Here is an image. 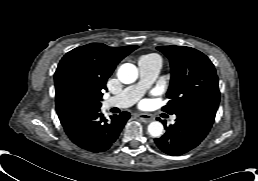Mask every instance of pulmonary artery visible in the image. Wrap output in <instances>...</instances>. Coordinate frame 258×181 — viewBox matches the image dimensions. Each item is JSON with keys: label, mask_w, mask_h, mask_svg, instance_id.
<instances>
[{"label": "pulmonary artery", "mask_w": 258, "mask_h": 181, "mask_svg": "<svg viewBox=\"0 0 258 181\" xmlns=\"http://www.w3.org/2000/svg\"><path fill=\"white\" fill-rule=\"evenodd\" d=\"M161 66L162 61L159 57L139 61L140 80L136 84L125 88L119 94L106 99L103 102V107L106 109L113 107L126 108L135 104L154 83ZM175 119L176 117L173 116L172 120Z\"/></svg>", "instance_id": "pulmonary-artery-1"}]
</instances>
